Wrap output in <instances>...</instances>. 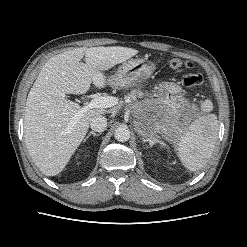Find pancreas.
Returning <instances> with one entry per match:
<instances>
[{
    "instance_id": "obj_1",
    "label": "pancreas",
    "mask_w": 247,
    "mask_h": 247,
    "mask_svg": "<svg viewBox=\"0 0 247 247\" xmlns=\"http://www.w3.org/2000/svg\"><path fill=\"white\" fill-rule=\"evenodd\" d=\"M145 95L139 91V90H132L130 94L126 97L127 100H129L128 104L132 105L134 112L140 111L141 104L143 102L137 101V98H143ZM147 101V100H146Z\"/></svg>"
}]
</instances>
